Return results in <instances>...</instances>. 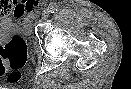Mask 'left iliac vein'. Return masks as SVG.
<instances>
[{
  "instance_id": "left-iliac-vein-1",
  "label": "left iliac vein",
  "mask_w": 131,
  "mask_h": 89,
  "mask_svg": "<svg viewBox=\"0 0 131 89\" xmlns=\"http://www.w3.org/2000/svg\"><path fill=\"white\" fill-rule=\"evenodd\" d=\"M49 17V11L46 9L41 15V20H46Z\"/></svg>"
}]
</instances>
